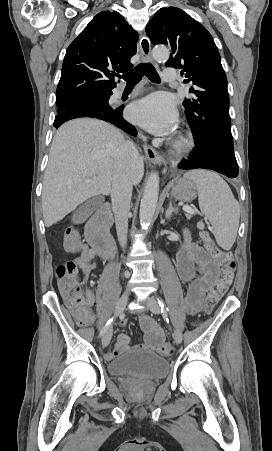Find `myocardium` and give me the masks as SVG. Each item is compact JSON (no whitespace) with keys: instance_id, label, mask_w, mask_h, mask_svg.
I'll return each mask as SVG.
<instances>
[{"instance_id":"myocardium-1","label":"myocardium","mask_w":272,"mask_h":451,"mask_svg":"<svg viewBox=\"0 0 272 451\" xmlns=\"http://www.w3.org/2000/svg\"><path fill=\"white\" fill-rule=\"evenodd\" d=\"M187 138H188L187 136H184V137H183V140H187Z\"/></svg>"}]
</instances>
